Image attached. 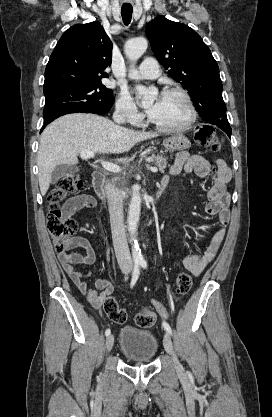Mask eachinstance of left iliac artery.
Wrapping results in <instances>:
<instances>
[{
	"label": "left iliac artery",
	"mask_w": 272,
	"mask_h": 417,
	"mask_svg": "<svg viewBox=\"0 0 272 417\" xmlns=\"http://www.w3.org/2000/svg\"><path fill=\"white\" fill-rule=\"evenodd\" d=\"M140 265H141L143 268H147V262H146L145 260H141V261H140ZM162 325H163L164 329H165V330H166V331H167L170 335H172V329H171L170 325H169L167 322H165V321H163Z\"/></svg>",
	"instance_id": "left-iliac-artery-1"
}]
</instances>
